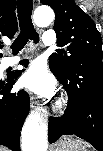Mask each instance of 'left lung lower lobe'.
Listing matches in <instances>:
<instances>
[{"label":"left lung lower lobe","instance_id":"left-lung-lower-lobe-1","mask_svg":"<svg viewBox=\"0 0 103 151\" xmlns=\"http://www.w3.org/2000/svg\"><path fill=\"white\" fill-rule=\"evenodd\" d=\"M54 74L69 99L62 117H50L49 142L75 134L103 151V57H88L66 76Z\"/></svg>","mask_w":103,"mask_h":151}]
</instances>
